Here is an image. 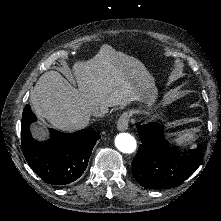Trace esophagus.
Masks as SVG:
<instances>
[{
	"label": "esophagus",
	"instance_id": "34e87169",
	"mask_svg": "<svg viewBox=\"0 0 221 221\" xmlns=\"http://www.w3.org/2000/svg\"><path fill=\"white\" fill-rule=\"evenodd\" d=\"M121 123H120V129L121 130H126L128 128V123H129V117L127 115H123L121 117Z\"/></svg>",
	"mask_w": 221,
	"mask_h": 221
}]
</instances>
